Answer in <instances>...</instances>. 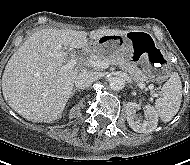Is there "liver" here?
Returning a JSON list of instances; mask_svg holds the SVG:
<instances>
[{
	"label": "liver",
	"instance_id": "6515ba94",
	"mask_svg": "<svg viewBox=\"0 0 190 165\" xmlns=\"http://www.w3.org/2000/svg\"><path fill=\"white\" fill-rule=\"evenodd\" d=\"M128 31L98 29L90 33L45 28L32 33L9 59L2 76V93L8 105L33 122L59 119L71 96L77 75L87 68L78 65L65 71L64 48L88 47L87 35L97 40L103 35H125Z\"/></svg>",
	"mask_w": 190,
	"mask_h": 165
}]
</instances>
